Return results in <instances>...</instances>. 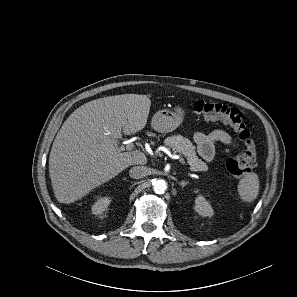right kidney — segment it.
Here are the masks:
<instances>
[{
  "label": "right kidney",
  "mask_w": 297,
  "mask_h": 297,
  "mask_svg": "<svg viewBox=\"0 0 297 297\" xmlns=\"http://www.w3.org/2000/svg\"><path fill=\"white\" fill-rule=\"evenodd\" d=\"M111 199L109 197L99 198L92 206L93 214H101L109 206Z\"/></svg>",
  "instance_id": "ca27d5eb"
}]
</instances>
